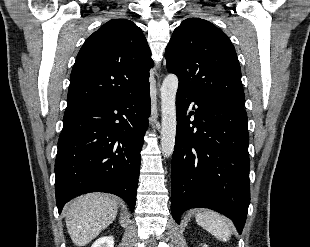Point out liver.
<instances>
[{"label":"liver","mask_w":310,"mask_h":247,"mask_svg":"<svg viewBox=\"0 0 310 247\" xmlns=\"http://www.w3.org/2000/svg\"><path fill=\"white\" fill-rule=\"evenodd\" d=\"M117 207V200L103 193L84 194L72 200L65 213L72 242L82 247L96 238L116 218Z\"/></svg>","instance_id":"1"}]
</instances>
